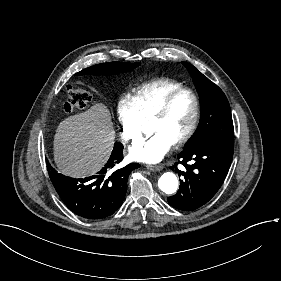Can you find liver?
Wrapping results in <instances>:
<instances>
[{
    "label": "liver",
    "mask_w": 281,
    "mask_h": 281,
    "mask_svg": "<svg viewBox=\"0 0 281 281\" xmlns=\"http://www.w3.org/2000/svg\"><path fill=\"white\" fill-rule=\"evenodd\" d=\"M115 134L111 113L101 102L66 117L58 124L53 138L56 168L72 178L98 173L111 156Z\"/></svg>",
    "instance_id": "1"
}]
</instances>
